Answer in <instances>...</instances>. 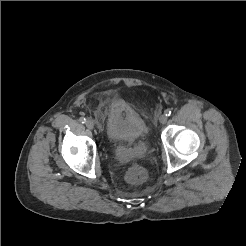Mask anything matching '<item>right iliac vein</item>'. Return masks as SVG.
<instances>
[{
	"label": "right iliac vein",
	"instance_id": "right-iliac-vein-1",
	"mask_svg": "<svg viewBox=\"0 0 246 246\" xmlns=\"http://www.w3.org/2000/svg\"><path fill=\"white\" fill-rule=\"evenodd\" d=\"M94 122L92 121V120H88L87 122H86V126H87V128L88 129H93L94 128Z\"/></svg>",
	"mask_w": 246,
	"mask_h": 246
}]
</instances>
